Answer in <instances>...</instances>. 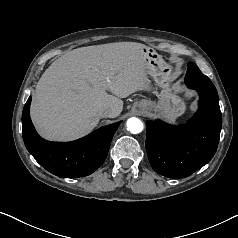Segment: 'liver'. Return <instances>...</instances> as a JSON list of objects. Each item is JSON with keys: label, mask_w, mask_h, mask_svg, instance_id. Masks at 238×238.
<instances>
[{"label": "liver", "mask_w": 238, "mask_h": 238, "mask_svg": "<svg viewBox=\"0 0 238 238\" xmlns=\"http://www.w3.org/2000/svg\"><path fill=\"white\" fill-rule=\"evenodd\" d=\"M144 46L136 42L87 46L55 60L39 79L32 99L30 114L40 135L55 141L80 138L97 126L101 108L112 109L111 118L118 117L121 98L150 91Z\"/></svg>", "instance_id": "obj_1"}]
</instances>
